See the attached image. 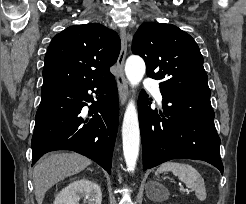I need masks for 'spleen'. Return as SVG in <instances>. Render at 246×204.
<instances>
[{"mask_svg": "<svg viewBox=\"0 0 246 204\" xmlns=\"http://www.w3.org/2000/svg\"><path fill=\"white\" fill-rule=\"evenodd\" d=\"M166 171H171L180 181L184 182L188 188L194 190L200 201L206 199L204 179L193 166L186 163L168 161L161 164L155 174L158 175Z\"/></svg>", "mask_w": 246, "mask_h": 204, "instance_id": "1", "label": "spleen"}]
</instances>
